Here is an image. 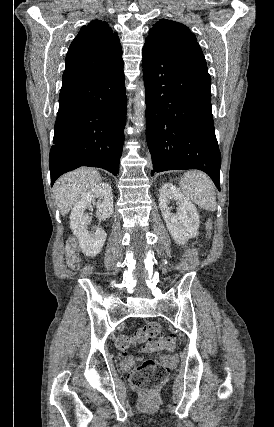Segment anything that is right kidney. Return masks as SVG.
I'll use <instances>...</instances> for the list:
<instances>
[{"label": "right kidney", "instance_id": "right-kidney-1", "mask_svg": "<svg viewBox=\"0 0 274 427\" xmlns=\"http://www.w3.org/2000/svg\"><path fill=\"white\" fill-rule=\"evenodd\" d=\"M96 198H99L98 202H96ZM95 202L97 210L100 212L99 217H111L114 208L113 194L109 184L100 182V184L92 186L90 192L81 196L70 214V227L76 235L83 253L89 257H95L97 253H100L107 237L104 229L97 227L95 233H90L85 227L86 221L90 219L89 214H85V210L91 208V204H95Z\"/></svg>", "mask_w": 274, "mask_h": 427}]
</instances>
